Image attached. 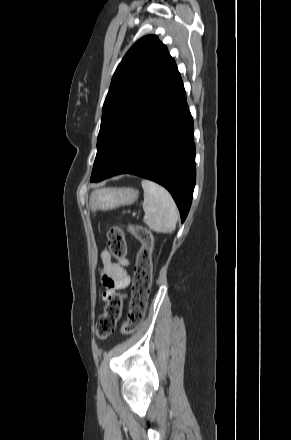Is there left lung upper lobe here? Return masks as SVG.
<instances>
[{"mask_svg":"<svg viewBox=\"0 0 291 440\" xmlns=\"http://www.w3.org/2000/svg\"><path fill=\"white\" fill-rule=\"evenodd\" d=\"M177 71L167 47L155 35L141 38L129 49L103 105L91 178L100 173L128 128Z\"/></svg>","mask_w":291,"mask_h":440,"instance_id":"5c2ea615","label":"left lung upper lobe"}]
</instances>
